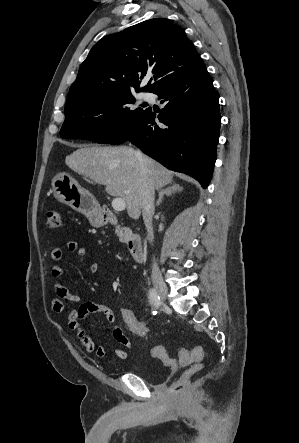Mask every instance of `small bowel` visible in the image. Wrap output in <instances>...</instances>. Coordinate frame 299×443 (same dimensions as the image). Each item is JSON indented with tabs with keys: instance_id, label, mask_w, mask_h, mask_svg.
Returning <instances> with one entry per match:
<instances>
[{
	"instance_id": "1",
	"label": "small bowel",
	"mask_w": 299,
	"mask_h": 443,
	"mask_svg": "<svg viewBox=\"0 0 299 443\" xmlns=\"http://www.w3.org/2000/svg\"><path fill=\"white\" fill-rule=\"evenodd\" d=\"M66 248L70 252L77 253L80 257L86 255V249L76 241H68L66 243ZM62 255L63 251L61 248H54L50 253L51 259L56 262L62 259ZM88 269L91 273H96L98 271V264L96 262H91ZM65 272V267L58 263L54 264L52 267V276L55 278H61ZM54 290L56 298L51 302L53 311L66 314L69 328L77 332L80 343L86 352L94 353L99 358H106L107 361L111 363L122 361L127 358L128 353L124 349H117L108 355L106 349L101 345L97 346L82 328V320L86 316L94 313H102L106 318L113 338L119 344L127 348L130 347V340L124 334L122 329L117 326L116 317L111 308L97 302L87 301L82 303L77 309H67L66 302L78 303L81 299L80 296L72 293L67 287L58 281L54 284Z\"/></svg>"
}]
</instances>
